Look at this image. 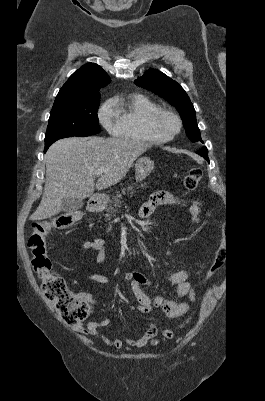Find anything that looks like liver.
Listing matches in <instances>:
<instances>
[{"mask_svg":"<svg viewBox=\"0 0 265 401\" xmlns=\"http://www.w3.org/2000/svg\"><path fill=\"white\" fill-rule=\"evenodd\" d=\"M150 142L131 138L73 136L56 140L45 154L46 182L42 201L30 221L58 215L65 196L87 198L95 188L103 190L124 178L134 160L150 148ZM98 168H105L96 184Z\"/></svg>","mask_w":265,"mask_h":401,"instance_id":"6515ba94","label":"liver"}]
</instances>
